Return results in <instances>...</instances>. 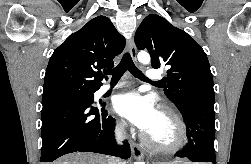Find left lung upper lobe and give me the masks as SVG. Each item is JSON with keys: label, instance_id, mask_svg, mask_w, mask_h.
Instances as JSON below:
<instances>
[{"label": "left lung upper lobe", "instance_id": "left-lung-upper-lobe-1", "mask_svg": "<svg viewBox=\"0 0 251 164\" xmlns=\"http://www.w3.org/2000/svg\"><path fill=\"white\" fill-rule=\"evenodd\" d=\"M135 43L147 49L155 69L167 67L164 93L180 109L190 103L214 106L213 78L202 47L185 31L150 14L138 27Z\"/></svg>", "mask_w": 251, "mask_h": 164}]
</instances>
